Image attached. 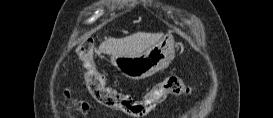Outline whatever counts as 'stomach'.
Returning a JSON list of instances; mask_svg holds the SVG:
<instances>
[{
	"instance_id": "1",
	"label": "stomach",
	"mask_w": 273,
	"mask_h": 118,
	"mask_svg": "<svg viewBox=\"0 0 273 118\" xmlns=\"http://www.w3.org/2000/svg\"><path fill=\"white\" fill-rule=\"evenodd\" d=\"M174 38L163 36L138 55H112V64L127 78L140 80L167 67L175 54Z\"/></svg>"
}]
</instances>
